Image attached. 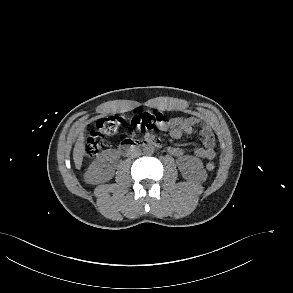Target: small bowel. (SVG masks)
Listing matches in <instances>:
<instances>
[{
    "instance_id": "small-bowel-1",
    "label": "small bowel",
    "mask_w": 293,
    "mask_h": 293,
    "mask_svg": "<svg viewBox=\"0 0 293 293\" xmlns=\"http://www.w3.org/2000/svg\"><path fill=\"white\" fill-rule=\"evenodd\" d=\"M201 125L199 135L201 137L203 146L197 147L194 150V155L201 159L212 160L215 157V138L211 131V128L202 122L199 117H172L163 123L159 129L161 131L168 132L169 135L178 139L183 135L192 134L195 125ZM168 151L175 157H182L184 151L179 147H168Z\"/></svg>"
}]
</instances>
